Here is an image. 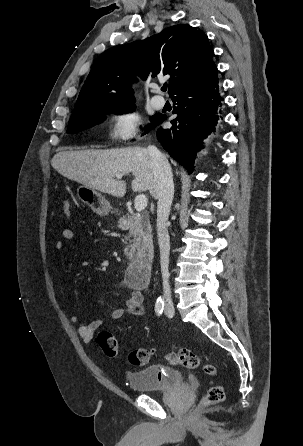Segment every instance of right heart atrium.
Wrapping results in <instances>:
<instances>
[{
  "instance_id": "d8ad5b80",
  "label": "right heart atrium",
  "mask_w": 303,
  "mask_h": 446,
  "mask_svg": "<svg viewBox=\"0 0 303 446\" xmlns=\"http://www.w3.org/2000/svg\"><path fill=\"white\" fill-rule=\"evenodd\" d=\"M142 132L140 113L133 107L116 110L111 118L110 139L114 142H127L138 138Z\"/></svg>"
}]
</instances>
